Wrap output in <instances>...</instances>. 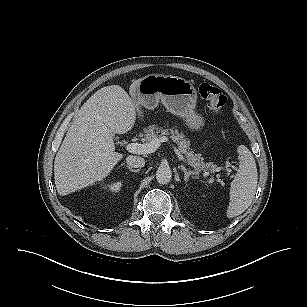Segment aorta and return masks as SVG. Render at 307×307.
<instances>
[{
  "mask_svg": "<svg viewBox=\"0 0 307 307\" xmlns=\"http://www.w3.org/2000/svg\"><path fill=\"white\" fill-rule=\"evenodd\" d=\"M172 177V171L169 166H160L156 171V179L160 184H167Z\"/></svg>",
  "mask_w": 307,
  "mask_h": 307,
  "instance_id": "1",
  "label": "aorta"
}]
</instances>
